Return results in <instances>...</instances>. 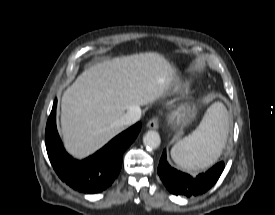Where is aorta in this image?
Segmentation results:
<instances>
[{
	"label": "aorta",
	"mask_w": 275,
	"mask_h": 215,
	"mask_svg": "<svg viewBox=\"0 0 275 215\" xmlns=\"http://www.w3.org/2000/svg\"><path fill=\"white\" fill-rule=\"evenodd\" d=\"M144 145L150 149H156L160 145V135L156 131H148L143 137Z\"/></svg>",
	"instance_id": "aorta-1"
}]
</instances>
